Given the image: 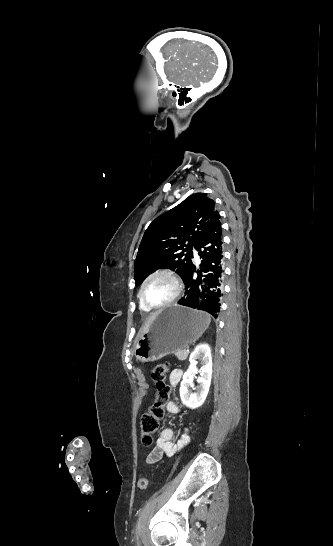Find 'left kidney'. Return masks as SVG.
Listing matches in <instances>:
<instances>
[{"instance_id": "obj_1", "label": "left kidney", "mask_w": 333, "mask_h": 546, "mask_svg": "<svg viewBox=\"0 0 333 546\" xmlns=\"http://www.w3.org/2000/svg\"><path fill=\"white\" fill-rule=\"evenodd\" d=\"M202 361V370L199 371L200 376L197 377L198 390L190 392L188 389L193 384L195 374L198 372L196 367L197 360ZM212 378V356L211 349L208 344H199L191 353L189 358V367L183 375L180 384V398L182 403L190 409H195L201 406L208 394Z\"/></svg>"}]
</instances>
